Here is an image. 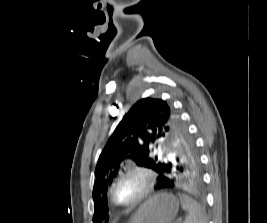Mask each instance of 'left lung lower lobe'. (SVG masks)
Returning a JSON list of instances; mask_svg holds the SVG:
<instances>
[{"label": "left lung lower lobe", "instance_id": "1", "mask_svg": "<svg viewBox=\"0 0 267 223\" xmlns=\"http://www.w3.org/2000/svg\"><path fill=\"white\" fill-rule=\"evenodd\" d=\"M202 171H168L157 173L159 182L153 188L154 192H168L169 194H181V189H199Z\"/></svg>", "mask_w": 267, "mask_h": 223}]
</instances>
